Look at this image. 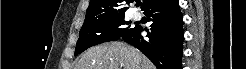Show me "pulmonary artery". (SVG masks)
<instances>
[{
	"mask_svg": "<svg viewBox=\"0 0 246 69\" xmlns=\"http://www.w3.org/2000/svg\"><path fill=\"white\" fill-rule=\"evenodd\" d=\"M140 17H141L140 12L135 11V12L133 13V18H134V19H140Z\"/></svg>",
	"mask_w": 246,
	"mask_h": 69,
	"instance_id": "1",
	"label": "pulmonary artery"
}]
</instances>
